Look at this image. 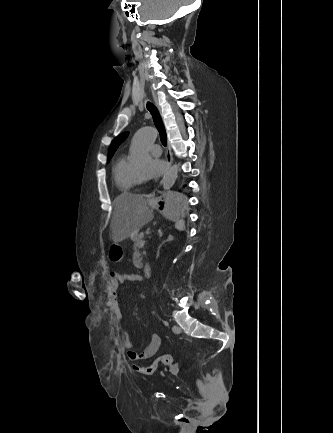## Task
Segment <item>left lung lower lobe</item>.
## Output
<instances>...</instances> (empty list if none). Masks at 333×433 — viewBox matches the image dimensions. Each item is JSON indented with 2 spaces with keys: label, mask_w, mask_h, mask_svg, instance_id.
I'll return each mask as SVG.
<instances>
[{
  "label": "left lung lower lobe",
  "mask_w": 333,
  "mask_h": 433,
  "mask_svg": "<svg viewBox=\"0 0 333 433\" xmlns=\"http://www.w3.org/2000/svg\"><path fill=\"white\" fill-rule=\"evenodd\" d=\"M165 208H166V210H167L168 212H170V213H173V212H175V211L181 209L180 206L177 204L176 199L173 198V197H172V198H169V199L166 201Z\"/></svg>",
  "instance_id": "1"
}]
</instances>
